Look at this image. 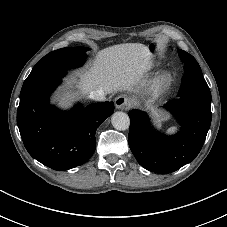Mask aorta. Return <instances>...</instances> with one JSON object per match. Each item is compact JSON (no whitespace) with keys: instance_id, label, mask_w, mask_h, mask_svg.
<instances>
[{"instance_id":"1","label":"aorta","mask_w":227,"mask_h":227,"mask_svg":"<svg viewBox=\"0 0 227 227\" xmlns=\"http://www.w3.org/2000/svg\"><path fill=\"white\" fill-rule=\"evenodd\" d=\"M112 125L117 130H127L130 126L129 116L121 111L115 112L111 118Z\"/></svg>"}]
</instances>
